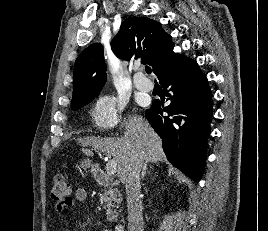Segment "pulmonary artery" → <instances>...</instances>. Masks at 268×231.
I'll return each mask as SVG.
<instances>
[{
  "mask_svg": "<svg viewBox=\"0 0 268 231\" xmlns=\"http://www.w3.org/2000/svg\"><path fill=\"white\" fill-rule=\"evenodd\" d=\"M134 85L140 92H150L153 88L152 82L146 78L141 71H138L134 76Z\"/></svg>",
  "mask_w": 268,
  "mask_h": 231,
  "instance_id": "pulmonary-artery-1",
  "label": "pulmonary artery"
}]
</instances>
